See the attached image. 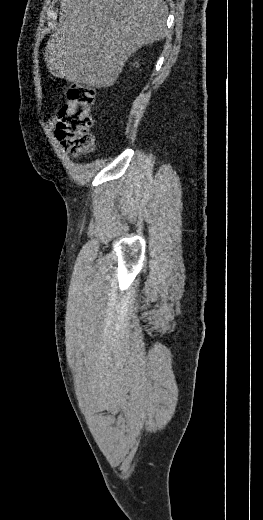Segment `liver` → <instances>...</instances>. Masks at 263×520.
<instances>
[{"label": "liver", "mask_w": 263, "mask_h": 520, "mask_svg": "<svg viewBox=\"0 0 263 520\" xmlns=\"http://www.w3.org/2000/svg\"><path fill=\"white\" fill-rule=\"evenodd\" d=\"M167 16L164 0H62L47 67L76 85L112 86L134 52L164 39Z\"/></svg>", "instance_id": "obj_1"}]
</instances>
